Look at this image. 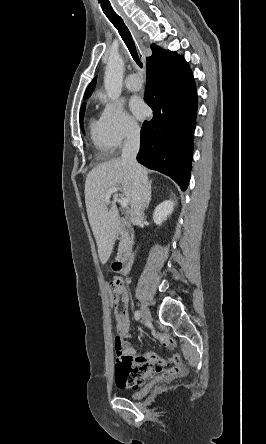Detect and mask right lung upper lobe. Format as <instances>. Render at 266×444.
I'll list each match as a JSON object with an SVG mask.
<instances>
[{"label": "right lung upper lobe", "instance_id": "obj_1", "mask_svg": "<svg viewBox=\"0 0 266 444\" xmlns=\"http://www.w3.org/2000/svg\"><path fill=\"white\" fill-rule=\"evenodd\" d=\"M151 49L153 53L151 57L147 58V64H146L147 67L166 62L168 60L174 59L177 56H179L175 54V52L160 50V48L156 47L155 45H151ZM95 85H96V77L88 85L87 90L84 94V99L89 98V96L92 94L95 88Z\"/></svg>", "mask_w": 266, "mask_h": 444}]
</instances>
